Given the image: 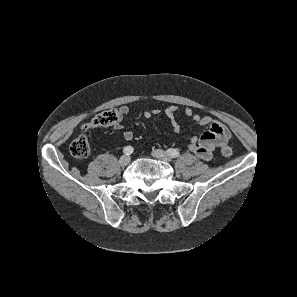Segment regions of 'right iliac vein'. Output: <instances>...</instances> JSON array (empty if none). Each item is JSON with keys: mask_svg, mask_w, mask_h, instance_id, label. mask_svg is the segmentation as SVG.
Masks as SVG:
<instances>
[{"mask_svg": "<svg viewBox=\"0 0 297 297\" xmlns=\"http://www.w3.org/2000/svg\"><path fill=\"white\" fill-rule=\"evenodd\" d=\"M129 162H130V157L127 156V155H123V156H121L120 159H119V165H120L121 167H125V166H127V165L129 164Z\"/></svg>", "mask_w": 297, "mask_h": 297, "instance_id": "obj_1", "label": "right iliac vein"}]
</instances>
